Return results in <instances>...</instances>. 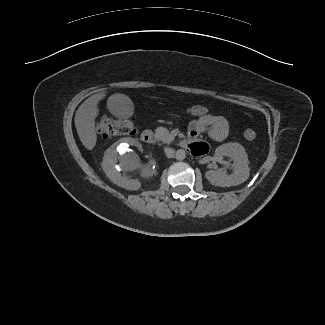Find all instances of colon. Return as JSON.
Here are the masks:
<instances>
[{
	"instance_id": "1",
	"label": "colon",
	"mask_w": 325,
	"mask_h": 325,
	"mask_svg": "<svg viewBox=\"0 0 325 325\" xmlns=\"http://www.w3.org/2000/svg\"><path fill=\"white\" fill-rule=\"evenodd\" d=\"M212 109L203 105L188 106L186 112L191 117L201 118L211 114ZM97 133L103 138H111L118 135H134L136 130L132 122L128 119L117 120L109 117L101 118L96 125ZM247 140H254L256 132L248 128L244 131Z\"/></svg>"
}]
</instances>
